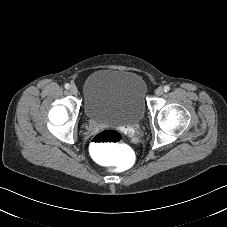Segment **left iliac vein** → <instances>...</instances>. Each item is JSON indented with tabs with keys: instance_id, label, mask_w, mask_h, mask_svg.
<instances>
[{
	"instance_id": "4c4485c4",
	"label": "left iliac vein",
	"mask_w": 227,
	"mask_h": 227,
	"mask_svg": "<svg viewBox=\"0 0 227 227\" xmlns=\"http://www.w3.org/2000/svg\"><path fill=\"white\" fill-rule=\"evenodd\" d=\"M155 93L157 96H161L164 93V89L162 87H158Z\"/></svg>"
}]
</instances>
